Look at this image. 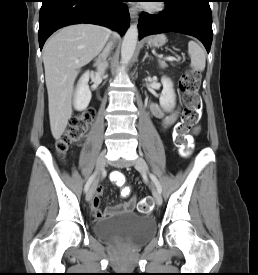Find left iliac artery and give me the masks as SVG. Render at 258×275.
Listing matches in <instances>:
<instances>
[{
	"label": "left iliac artery",
	"mask_w": 258,
	"mask_h": 275,
	"mask_svg": "<svg viewBox=\"0 0 258 275\" xmlns=\"http://www.w3.org/2000/svg\"><path fill=\"white\" fill-rule=\"evenodd\" d=\"M150 178L152 179V181L154 182V184L156 185V188L158 190V192L161 194L162 192V187L158 181V179L156 178V176H154L153 174H150Z\"/></svg>",
	"instance_id": "44dca946"
}]
</instances>
